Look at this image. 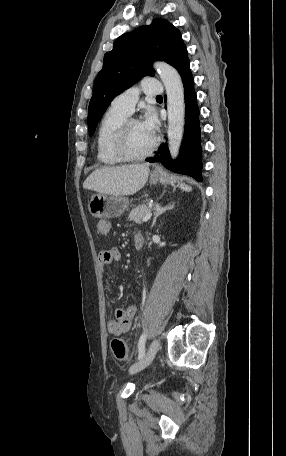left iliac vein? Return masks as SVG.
Listing matches in <instances>:
<instances>
[{
	"label": "left iliac vein",
	"mask_w": 286,
	"mask_h": 456,
	"mask_svg": "<svg viewBox=\"0 0 286 456\" xmlns=\"http://www.w3.org/2000/svg\"><path fill=\"white\" fill-rule=\"evenodd\" d=\"M159 350V341L157 339H154L152 343L149 346V349L147 350L146 354L135 364L130 366L129 368V373L130 374H135L144 368H146L150 363L153 361L155 355L157 354Z\"/></svg>",
	"instance_id": "left-iliac-vein-1"
}]
</instances>
